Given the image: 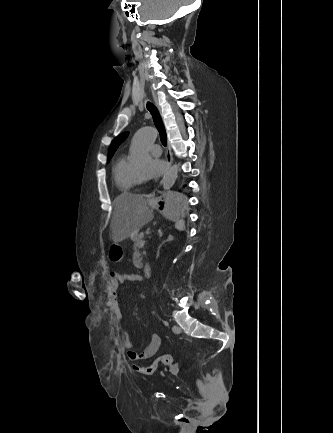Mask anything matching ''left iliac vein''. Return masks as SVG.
<instances>
[{
  "mask_svg": "<svg viewBox=\"0 0 333 433\" xmlns=\"http://www.w3.org/2000/svg\"><path fill=\"white\" fill-rule=\"evenodd\" d=\"M172 331H173L175 334H180V333L182 332L181 328H180L179 326H177V325H174V326L172 327Z\"/></svg>",
  "mask_w": 333,
  "mask_h": 433,
  "instance_id": "1",
  "label": "left iliac vein"
}]
</instances>
